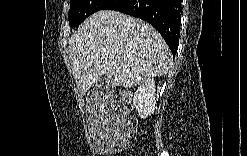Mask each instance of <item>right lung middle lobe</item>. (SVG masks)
Returning a JSON list of instances; mask_svg holds the SVG:
<instances>
[{"label": "right lung middle lobe", "mask_w": 247, "mask_h": 156, "mask_svg": "<svg viewBox=\"0 0 247 156\" xmlns=\"http://www.w3.org/2000/svg\"><path fill=\"white\" fill-rule=\"evenodd\" d=\"M108 0H71L68 20L71 26L82 23L88 16L99 11Z\"/></svg>", "instance_id": "1"}]
</instances>
